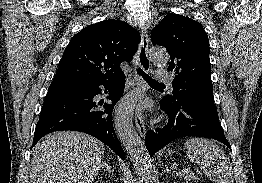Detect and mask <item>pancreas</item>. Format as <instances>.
<instances>
[{
	"mask_svg": "<svg viewBox=\"0 0 262 183\" xmlns=\"http://www.w3.org/2000/svg\"><path fill=\"white\" fill-rule=\"evenodd\" d=\"M193 175H194V174H193ZM194 176H195V175H194ZM186 178L189 179V180H193V181L197 180V177H196V176H195V178H191V177L188 178V177L186 176Z\"/></svg>",
	"mask_w": 262,
	"mask_h": 183,
	"instance_id": "obj_1",
	"label": "pancreas"
}]
</instances>
